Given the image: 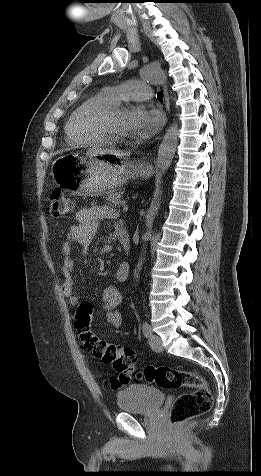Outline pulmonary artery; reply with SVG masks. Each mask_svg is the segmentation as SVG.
<instances>
[{
  "instance_id": "pulmonary-artery-1",
  "label": "pulmonary artery",
  "mask_w": 261,
  "mask_h": 476,
  "mask_svg": "<svg viewBox=\"0 0 261 476\" xmlns=\"http://www.w3.org/2000/svg\"><path fill=\"white\" fill-rule=\"evenodd\" d=\"M106 92L116 101L119 100H147L150 99L151 88L145 82L130 80L118 86L110 87Z\"/></svg>"
}]
</instances>
